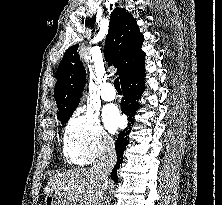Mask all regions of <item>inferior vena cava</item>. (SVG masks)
Segmentation results:
<instances>
[{
	"label": "inferior vena cava",
	"instance_id": "obj_1",
	"mask_svg": "<svg viewBox=\"0 0 222 205\" xmlns=\"http://www.w3.org/2000/svg\"><path fill=\"white\" fill-rule=\"evenodd\" d=\"M116 163L115 145L110 138L104 141L101 154L93 164V170L98 175L103 186L108 187V176Z\"/></svg>",
	"mask_w": 222,
	"mask_h": 205
}]
</instances>
